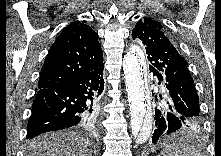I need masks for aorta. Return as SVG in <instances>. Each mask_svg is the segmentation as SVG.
I'll use <instances>...</instances> for the list:
<instances>
[{
	"mask_svg": "<svg viewBox=\"0 0 221 156\" xmlns=\"http://www.w3.org/2000/svg\"><path fill=\"white\" fill-rule=\"evenodd\" d=\"M132 135L145 143L152 131V110L147 95L146 62L139 46H132L123 59Z\"/></svg>",
	"mask_w": 221,
	"mask_h": 156,
	"instance_id": "obj_1",
	"label": "aorta"
}]
</instances>
